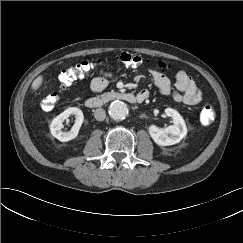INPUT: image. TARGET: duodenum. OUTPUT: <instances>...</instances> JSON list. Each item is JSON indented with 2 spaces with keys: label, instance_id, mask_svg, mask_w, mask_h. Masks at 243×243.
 I'll list each match as a JSON object with an SVG mask.
<instances>
[{
  "label": "duodenum",
  "instance_id": "410a0bca",
  "mask_svg": "<svg viewBox=\"0 0 243 243\" xmlns=\"http://www.w3.org/2000/svg\"><path fill=\"white\" fill-rule=\"evenodd\" d=\"M120 99L129 103H141L145 100V97L140 94H133L128 92H112L101 97L88 98L85 101V106L90 109L102 107L105 103Z\"/></svg>",
  "mask_w": 243,
  "mask_h": 243
}]
</instances>
